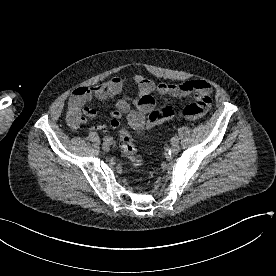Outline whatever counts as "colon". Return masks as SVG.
<instances>
[{"instance_id":"obj_1","label":"colon","mask_w":276,"mask_h":276,"mask_svg":"<svg viewBox=\"0 0 276 276\" xmlns=\"http://www.w3.org/2000/svg\"><path fill=\"white\" fill-rule=\"evenodd\" d=\"M156 115L150 114L148 116V124L153 126L155 123ZM119 145L123 155L129 160L133 166H141L143 160L137 155V151L133 142L132 135L127 128L123 127L118 131Z\"/></svg>"}]
</instances>
